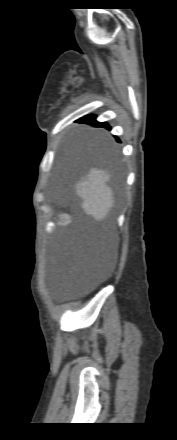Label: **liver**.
<instances>
[{"instance_id": "1", "label": "liver", "mask_w": 177, "mask_h": 440, "mask_svg": "<svg viewBox=\"0 0 177 440\" xmlns=\"http://www.w3.org/2000/svg\"><path fill=\"white\" fill-rule=\"evenodd\" d=\"M110 179L111 174L107 170L91 168L75 184V193L82 199L84 213L96 221L104 220L114 206V194L108 186Z\"/></svg>"}]
</instances>
